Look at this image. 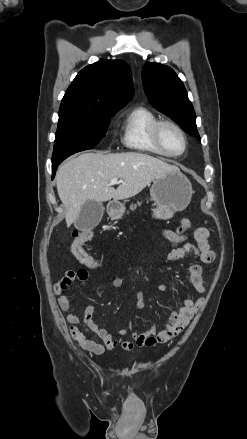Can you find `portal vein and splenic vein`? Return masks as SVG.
<instances>
[{
	"label": "portal vein and splenic vein",
	"mask_w": 247,
	"mask_h": 439,
	"mask_svg": "<svg viewBox=\"0 0 247 439\" xmlns=\"http://www.w3.org/2000/svg\"><path fill=\"white\" fill-rule=\"evenodd\" d=\"M120 183H121V181H119L117 178H113L110 180L111 185L120 184Z\"/></svg>",
	"instance_id": "obj_1"
}]
</instances>
